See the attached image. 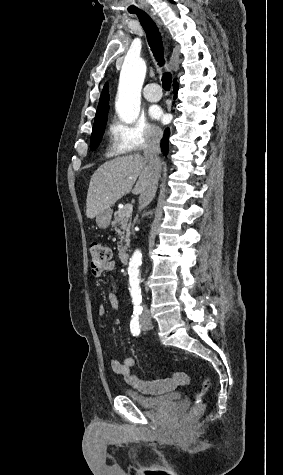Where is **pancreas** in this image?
I'll return each instance as SVG.
<instances>
[{"label": "pancreas", "instance_id": "cf45deb5", "mask_svg": "<svg viewBox=\"0 0 283 475\" xmlns=\"http://www.w3.org/2000/svg\"><path fill=\"white\" fill-rule=\"evenodd\" d=\"M130 210H127V206L121 208V210H117L114 214V220L112 222V226L117 234L120 236L121 245H118L119 253H126L129 243H130V220H131ZM119 226V228H118Z\"/></svg>", "mask_w": 283, "mask_h": 475}]
</instances>
